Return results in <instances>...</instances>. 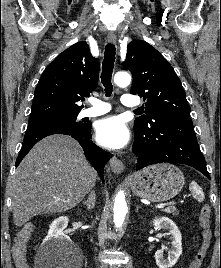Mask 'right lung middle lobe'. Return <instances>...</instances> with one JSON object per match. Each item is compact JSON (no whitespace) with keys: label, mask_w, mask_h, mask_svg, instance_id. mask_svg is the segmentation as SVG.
<instances>
[{"label":"right lung middle lobe","mask_w":221,"mask_h":268,"mask_svg":"<svg viewBox=\"0 0 221 268\" xmlns=\"http://www.w3.org/2000/svg\"><path fill=\"white\" fill-rule=\"evenodd\" d=\"M77 115L78 114H62V115L44 117V118H30L29 124L36 123V122H43V121L57 122V123L70 124V125L83 124L82 122L76 121Z\"/></svg>","instance_id":"obj_1"}]
</instances>
